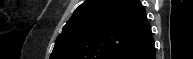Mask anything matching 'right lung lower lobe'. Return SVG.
<instances>
[{
    "label": "right lung lower lobe",
    "instance_id": "1",
    "mask_svg": "<svg viewBox=\"0 0 193 59\" xmlns=\"http://www.w3.org/2000/svg\"><path fill=\"white\" fill-rule=\"evenodd\" d=\"M124 59H156L154 40L151 38L141 48Z\"/></svg>",
    "mask_w": 193,
    "mask_h": 59
}]
</instances>
